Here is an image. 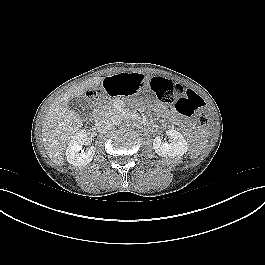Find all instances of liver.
Returning <instances> with one entry per match:
<instances>
[{"mask_svg":"<svg viewBox=\"0 0 265 265\" xmlns=\"http://www.w3.org/2000/svg\"><path fill=\"white\" fill-rule=\"evenodd\" d=\"M103 78L94 77L69 88L59 96L50 106L42 124V137L45 149L50 159L56 165L64 164V152L73 136L82 127L80 116L69 109L68 103L86 91L95 90Z\"/></svg>","mask_w":265,"mask_h":265,"instance_id":"obj_1","label":"liver"}]
</instances>
